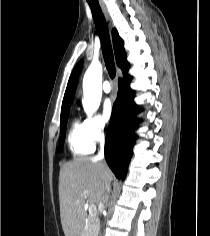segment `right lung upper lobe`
I'll return each mask as SVG.
<instances>
[{"instance_id":"cb5924a9","label":"right lung upper lobe","mask_w":210,"mask_h":236,"mask_svg":"<svg viewBox=\"0 0 210 236\" xmlns=\"http://www.w3.org/2000/svg\"><path fill=\"white\" fill-rule=\"evenodd\" d=\"M112 39H113V46H114V52L116 57V62L118 66L122 69L123 73L128 71L129 69V63L126 60V53L123 47V41L119 37L118 32L116 29L112 30ZM79 63L74 68L70 79L68 81V85L65 91L63 103H62V111L64 112L66 110H69V107L72 103V97L75 92V85H76V77L79 70Z\"/></svg>"}]
</instances>
